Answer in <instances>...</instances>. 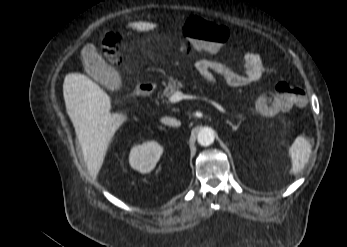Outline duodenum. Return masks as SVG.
<instances>
[{
    "label": "duodenum",
    "instance_id": "duodenum-1",
    "mask_svg": "<svg viewBox=\"0 0 347 247\" xmlns=\"http://www.w3.org/2000/svg\"><path fill=\"white\" fill-rule=\"evenodd\" d=\"M154 90V84L150 82H144L136 86L134 92L137 96L145 97L150 95Z\"/></svg>",
    "mask_w": 347,
    "mask_h": 247
}]
</instances>
